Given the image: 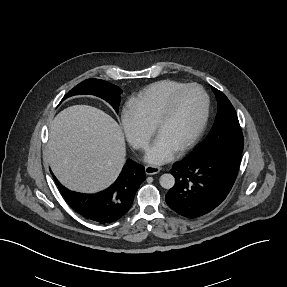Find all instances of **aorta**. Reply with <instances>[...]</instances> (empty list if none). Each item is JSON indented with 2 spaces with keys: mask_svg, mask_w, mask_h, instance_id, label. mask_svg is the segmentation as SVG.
Masks as SVG:
<instances>
[{
  "mask_svg": "<svg viewBox=\"0 0 287 287\" xmlns=\"http://www.w3.org/2000/svg\"><path fill=\"white\" fill-rule=\"evenodd\" d=\"M175 184V178L172 174H163L160 177V185L165 189H170Z\"/></svg>",
  "mask_w": 287,
  "mask_h": 287,
  "instance_id": "aorta-1",
  "label": "aorta"
}]
</instances>
